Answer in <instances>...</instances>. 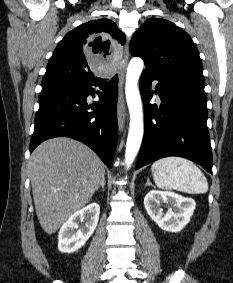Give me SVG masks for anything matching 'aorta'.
<instances>
[{
    "label": "aorta",
    "mask_w": 233,
    "mask_h": 283,
    "mask_svg": "<svg viewBox=\"0 0 233 283\" xmlns=\"http://www.w3.org/2000/svg\"><path fill=\"white\" fill-rule=\"evenodd\" d=\"M143 66V60L139 57H134L131 59L126 73L125 95L130 114L129 132L125 150L127 168H130L140 149L144 133L142 103L138 88V80Z\"/></svg>",
    "instance_id": "1"
}]
</instances>
